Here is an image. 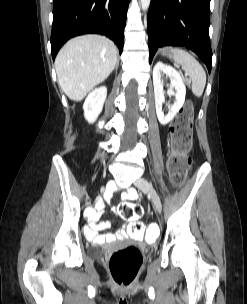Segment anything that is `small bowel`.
Here are the masks:
<instances>
[{
	"mask_svg": "<svg viewBox=\"0 0 247 304\" xmlns=\"http://www.w3.org/2000/svg\"><path fill=\"white\" fill-rule=\"evenodd\" d=\"M125 198L129 199V200H133V199L137 198L136 191L130 189L126 193ZM101 211H102V206H99L97 208V210L90 212V224L86 229L87 238L94 243L103 244V243L112 242V241L116 240L117 238L121 239V238L126 237V235L128 234L129 225L116 234H114V233L101 234L100 233L102 230H104L110 226V224L108 222L99 220Z\"/></svg>",
	"mask_w": 247,
	"mask_h": 304,
	"instance_id": "c3829d8e",
	"label": "small bowel"
}]
</instances>
